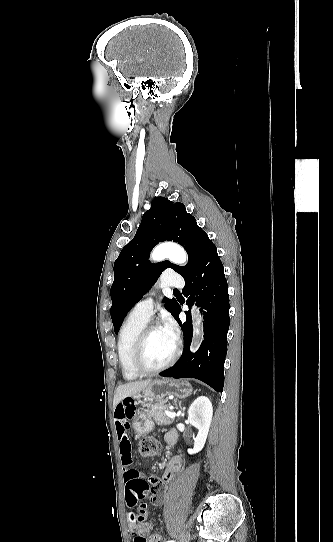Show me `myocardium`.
<instances>
[{"mask_svg": "<svg viewBox=\"0 0 333 542\" xmlns=\"http://www.w3.org/2000/svg\"><path fill=\"white\" fill-rule=\"evenodd\" d=\"M159 328L157 325H147L139 333L132 349L131 364L133 369L140 375H154L157 374L171 365H173L178 359L181 352V341L178 339L175 344V349L171 357L163 364L149 368L145 366L143 359L145 353L146 342L150 332L153 329Z\"/></svg>", "mask_w": 333, "mask_h": 542, "instance_id": "myocardium-1", "label": "myocardium"}]
</instances>
